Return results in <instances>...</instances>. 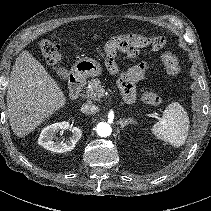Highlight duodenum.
<instances>
[{
	"instance_id": "obj_1",
	"label": "duodenum",
	"mask_w": 211,
	"mask_h": 211,
	"mask_svg": "<svg viewBox=\"0 0 211 211\" xmlns=\"http://www.w3.org/2000/svg\"><path fill=\"white\" fill-rule=\"evenodd\" d=\"M84 81L79 73L70 74L69 94L72 99H77L82 92Z\"/></svg>"
}]
</instances>
